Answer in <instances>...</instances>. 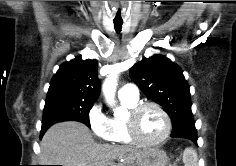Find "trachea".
<instances>
[{"mask_svg":"<svg viewBox=\"0 0 236 166\" xmlns=\"http://www.w3.org/2000/svg\"><path fill=\"white\" fill-rule=\"evenodd\" d=\"M114 28L116 32H120L122 29V23H114Z\"/></svg>","mask_w":236,"mask_h":166,"instance_id":"obj_1","label":"trachea"}]
</instances>
